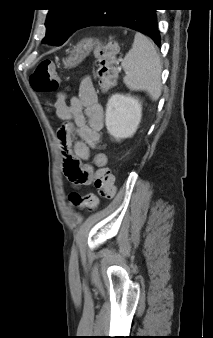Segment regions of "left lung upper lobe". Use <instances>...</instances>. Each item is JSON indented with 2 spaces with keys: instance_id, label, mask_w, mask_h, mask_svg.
I'll return each instance as SVG.
<instances>
[{
  "instance_id": "5c2ea615",
  "label": "left lung upper lobe",
  "mask_w": 213,
  "mask_h": 338,
  "mask_svg": "<svg viewBox=\"0 0 213 338\" xmlns=\"http://www.w3.org/2000/svg\"><path fill=\"white\" fill-rule=\"evenodd\" d=\"M107 0H51L46 19V36L43 43L62 45L79 27L80 23L101 2Z\"/></svg>"
}]
</instances>
